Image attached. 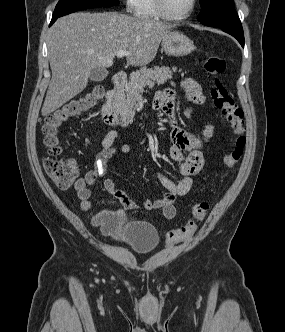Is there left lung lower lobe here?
Listing matches in <instances>:
<instances>
[{
  "mask_svg": "<svg viewBox=\"0 0 285 332\" xmlns=\"http://www.w3.org/2000/svg\"><path fill=\"white\" fill-rule=\"evenodd\" d=\"M218 27V26H214ZM222 29L224 32L229 33L233 37H235L242 47H244V34H243V28L241 25H235V26H223L218 27Z\"/></svg>",
  "mask_w": 285,
  "mask_h": 332,
  "instance_id": "left-lung-lower-lobe-1",
  "label": "left lung lower lobe"
}]
</instances>
